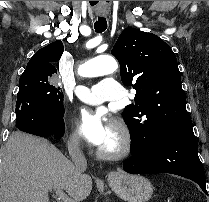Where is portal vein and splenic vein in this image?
Returning <instances> with one entry per match:
<instances>
[{
  "label": "portal vein and splenic vein",
  "instance_id": "18ae733b",
  "mask_svg": "<svg viewBox=\"0 0 209 202\" xmlns=\"http://www.w3.org/2000/svg\"><path fill=\"white\" fill-rule=\"evenodd\" d=\"M56 196L62 201V202H75L71 198H69L62 189H55L54 190Z\"/></svg>",
  "mask_w": 209,
  "mask_h": 202
}]
</instances>
